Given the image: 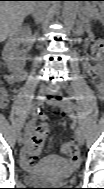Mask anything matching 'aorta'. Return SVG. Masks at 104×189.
<instances>
[{
  "instance_id": "1",
  "label": "aorta",
  "mask_w": 104,
  "mask_h": 189,
  "mask_svg": "<svg viewBox=\"0 0 104 189\" xmlns=\"http://www.w3.org/2000/svg\"><path fill=\"white\" fill-rule=\"evenodd\" d=\"M78 7H79L78 1H63L62 14H63V23L65 26H69L73 24L76 18Z\"/></svg>"
}]
</instances>
